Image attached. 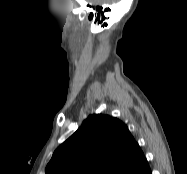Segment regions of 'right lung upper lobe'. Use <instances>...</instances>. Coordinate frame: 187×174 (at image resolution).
Here are the masks:
<instances>
[{
	"instance_id": "cb5924a9",
	"label": "right lung upper lobe",
	"mask_w": 187,
	"mask_h": 174,
	"mask_svg": "<svg viewBox=\"0 0 187 174\" xmlns=\"http://www.w3.org/2000/svg\"><path fill=\"white\" fill-rule=\"evenodd\" d=\"M147 160L127 126L109 115H90L53 153L45 174H144Z\"/></svg>"
}]
</instances>
